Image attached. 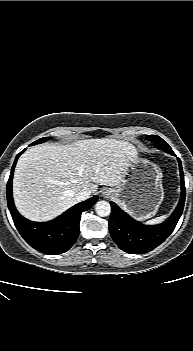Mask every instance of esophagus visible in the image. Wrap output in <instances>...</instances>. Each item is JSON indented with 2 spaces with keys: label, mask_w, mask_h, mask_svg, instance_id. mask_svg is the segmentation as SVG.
Returning a JSON list of instances; mask_svg holds the SVG:
<instances>
[{
  "label": "esophagus",
  "mask_w": 193,
  "mask_h": 351,
  "mask_svg": "<svg viewBox=\"0 0 193 351\" xmlns=\"http://www.w3.org/2000/svg\"><path fill=\"white\" fill-rule=\"evenodd\" d=\"M102 195H103L104 197H109L110 191H109L108 189H105V190H103Z\"/></svg>",
  "instance_id": "esophagus-1"
}]
</instances>
